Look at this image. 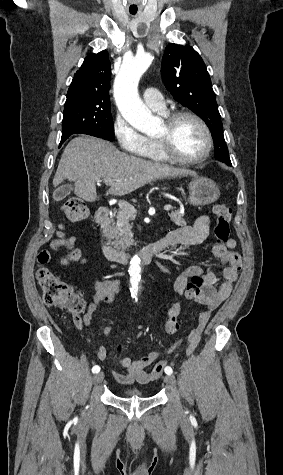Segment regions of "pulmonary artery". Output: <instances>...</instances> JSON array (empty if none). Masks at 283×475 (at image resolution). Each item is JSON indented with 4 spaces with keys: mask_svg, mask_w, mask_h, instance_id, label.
Instances as JSON below:
<instances>
[{
    "mask_svg": "<svg viewBox=\"0 0 283 475\" xmlns=\"http://www.w3.org/2000/svg\"><path fill=\"white\" fill-rule=\"evenodd\" d=\"M114 90H137V89H114ZM142 97L145 104L155 111H164L165 102L159 87H146L142 89Z\"/></svg>",
    "mask_w": 283,
    "mask_h": 475,
    "instance_id": "pulmonary-artery-1",
    "label": "pulmonary artery"
}]
</instances>
